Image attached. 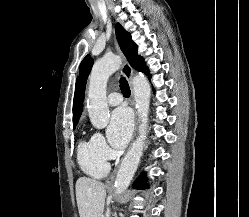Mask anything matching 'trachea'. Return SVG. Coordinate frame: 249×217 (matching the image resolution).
<instances>
[{"label":"trachea","mask_w":249,"mask_h":217,"mask_svg":"<svg viewBox=\"0 0 249 217\" xmlns=\"http://www.w3.org/2000/svg\"><path fill=\"white\" fill-rule=\"evenodd\" d=\"M119 83H120V89H121L122 94L125 97H129L130 96V88H129L128 82L125 79V77H121Z\"/></svg>","instance_id":"trachea-1"}]
</instances>
